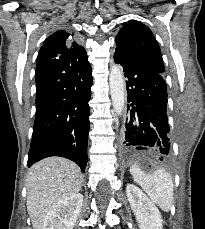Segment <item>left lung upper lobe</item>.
I'll use <instances>...</instances> for the list:
<instances>
[{"label":"left lung upper lobe","mask_w":205,"mask_h":229,"mask_svg":"<svg viewBox=\"0 0 205 229\" xmlns=\"http://www.w3.org/2000/svg\"><path fill=\"white\" fill-rule=\"evenodd\" d=\"M116 50L124 52L151 69L164 73L161 50L151 30L136 20L124 23L116 36Z\"/></svg>","instance_id":"1"}]
</instances>
